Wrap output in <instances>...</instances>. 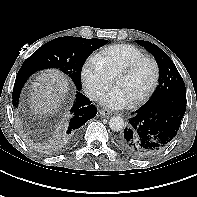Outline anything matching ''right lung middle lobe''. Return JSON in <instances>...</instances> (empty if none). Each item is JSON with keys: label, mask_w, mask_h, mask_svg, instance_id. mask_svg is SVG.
Wrapping results in <instances>:
<instances>
[{"label": "right lung middle lobe", "mask_w": 197, "mask_h": 197, "mask_svg": "<svg viewBox=\"0 0 197 197\" xmlns=\"http://www.w3.org/2000/svg\"><path fill=\"white\" fill-rule=\"evenodd\" d=\"M108 43L104 39H86L65 36L41 46L22 65V68L42 70L57 68L69 75L76 88L81 90V70L86 58Z\"/></svg>", "instance_id": "1"}]
</instances>
